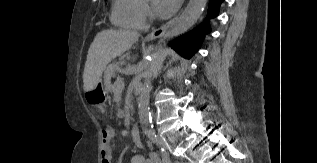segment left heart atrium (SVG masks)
Instances as JSON below:
<instances>
[{
	"instance_id": "39dd6f15",
	"label": "left heart atrium",
	"mask_w": 317,
	"mask_h": 163,
	"mask_svg": "<svg viewBox=\"0 0 317 163\" xmlns=\"http://www.w3.org/2000/svg\"><path fill=\"white\" fill-rule=\"evenodd\" d=\"M182 0H153L155 10L162 15H169L176 11Z\"/></svg>"
}]
</instances>
